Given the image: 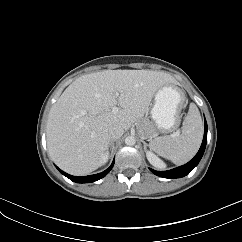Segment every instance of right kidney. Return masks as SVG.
I'll use <instances>...</instances> for the list:
<instances>
[{"mask_svg": "<svg viewBox=\"0 0 242 242\" xmlns=\"http://www.w3.org/2000/svg\"><path fill=\"white\" fill-rule=\"evenodd\" d=\"M108 158H109V152L106 151L101 157V164L106 163L108 161Z\"/></svg>", "mask_w": 242, "mask_h": 242, "instance_id": "ca27d5eb", "label": "right kidney"}]
</instances>
